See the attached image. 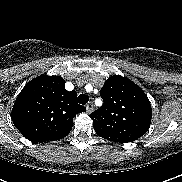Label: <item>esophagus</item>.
Returning a JSON list of instances; mask_svg holds the SVG:
<instances>
[{
    "label": "esophagus",
    "mask_w": 182,
    "mask_h": 182,
    "mask_svg": "<svg viewBox=\"0 0 182 182\" xmlns=\"http://www.w3.org/2000/svg\"><path fill=\"white\" fill-rule=\"evenodd\" d=\"M86 110H87V113H91L93 111V103L92 102H89L86 105Z\"/></svg>",
    "instance_id": "1"
}]
</instances>
